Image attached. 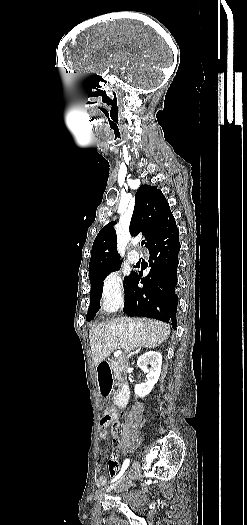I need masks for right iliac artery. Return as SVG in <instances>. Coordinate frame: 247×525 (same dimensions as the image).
Wrapping results in <instances>:
<instances>
[{"mask_svg": "<svg viewBox=\"0 0 247 525\" xmlns=\"http://www.w3.org/2000/svg\"><path fill=\"white\" fill-rule=\"evenodd\" d=\"M128 465H129V459H126L123 462L122 469H121L120 473L111 482H114L117 479H119L122 476V474L124 473V471L127 469Z\"/></svg>", "mask_w": 247, "mask_h": 525, "instance_id": "obj_1", "label": "right iliac artery"}]
</instances>
